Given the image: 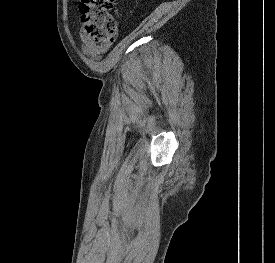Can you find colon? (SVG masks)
Segmentation results:
<instances>
[{"label":"colon","instance_id":"obj_1","mask_svg":"<svg viewBox=\"0 0 275 263\" xmlns=\"http://www.w3.org/2000/svg\"><path fill=\"white\" fill-rule=\"evenodd\" d=\"M115 0H81L82 31L99 44L113 43L118 37L116 18L111 14Z\"/></svg>","mask_w":275,"mask_h":263}]
</instances>
